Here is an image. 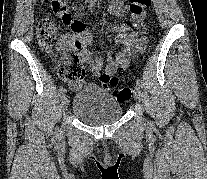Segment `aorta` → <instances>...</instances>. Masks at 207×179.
Masks as SVG:
<instances>
[{
	"label": "aorta",
	"mask_w": 207,
	"mask_h": 179,
	"mask_svg": "<svg viewBox=\"0 0 207 179\" xmlns=\"http://www.w3.org/2000/svg\"><path fill=\"white\" fill-rule=\"evenodd\" d=\"M97 0H91L92 3L96 2Z\"/></svg>",
	"instance_id": "762f6f07"
}]
</instances>
